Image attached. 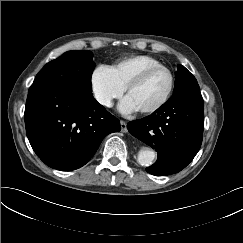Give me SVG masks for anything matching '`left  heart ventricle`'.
Instances as JSON below:
<instances>
[{
	"mask_svg": "<svg viewBox=\"0 0 243 243\" xmlns=\"http://www.w3.org/2000/svg\"><path fill=\"white\" fill-rule=\"evenodd\" d=\"M169 81V75L166 71L154 70L126 98L137 110L149 108L164 97Z\"/></svg>",
	"mask_w": 243,
	"mask_h": 243,
	"instance_id": "b2bd125f",
	"label": "left heart ventricle"
}]
</instances>
